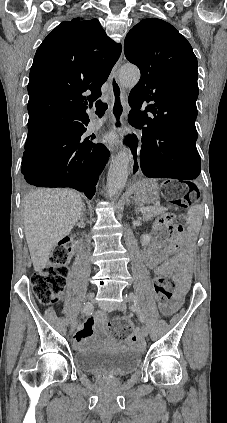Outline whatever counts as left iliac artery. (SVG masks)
Listing matches in <instances>:
<instances>
[{
  "mask_svg": "<svg viewBox=\"0 0 227 423\" xmlns=\"http://www.w3.org/2000/svg\"><path fill=\"white\" fill-rule=\"evenodd\" d=\"M126 300L133 304L132 309L134 310V307L136 308L135 311L137 312L139 320L141 322H144V315L139 308V303H138V299H137L136 295L132 292L129 293L128 295L126 294Z\"/></svg>",
  "mask_w": 227,
  "mask_h": 423,
  "instance_id": "1",
  "label": "left iliac artery"
}]
</instances>
